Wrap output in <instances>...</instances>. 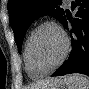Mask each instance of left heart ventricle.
Instances as JSON below:
<instances>
[{
	"label": "left heart ventricle",
	"instance_id": "obj_1",
	"mask_svg": "<svg viewBox=\"0 0 89 89\" xmlns=\"http://www.w3.org/2000/svg\"><path fill=\"white\" fill-rule=\"evenodd\" d=\"M64 41L61 34L51 26L43 27L35 36L32 51L39 69L53 66L61 57Z\"/></svg>",
	"mask_w": 89,
	"mask_h": 89
}]
</instances>
